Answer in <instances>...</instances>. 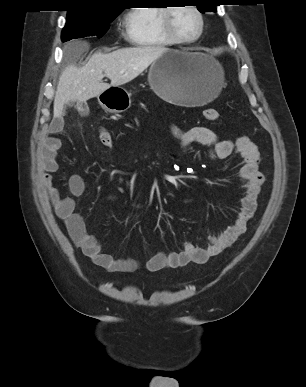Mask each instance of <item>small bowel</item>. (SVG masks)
<instances>
[{"label":"small bowel","instance_id":"1","mask_svg":"<svg viewBox=\"0 0 306 387\" xmlns=\"http://www.w3.org/2000/svg\"><path fill=\"white\" fill-rule=\"evenodd\" d=\"M63 128V118L53 120L40 151L41 181L47 190L54 212L63 221L76 246L95 265L109 272L133 273L140 268L139 262L132 258L116 259L104 253L99 239L87 232L83 218L75 211L74 197L81 196L86 188L83 177L79 174L69 177L67 185L70 196L63 195L53 184V175L59 170L57 153L61 147L57 134L62 132ZM172 130L182 149L194 143L209 147V159H225L233 152L238 153L242 160L240 178L244 195L241 198L234 223L221 234L209 237L206 247H199L188 240L181 251L157 252L145 264V269L149 272L183 267L190 263L204 264L231 246L240 235L245 233L247 224L256 211L257 197L264 183V176L259 170L260 152L256 144L248 137H239L235 141L220 140L214 131L204 126H196L187 130L173 126ZM109 198L113 199V196Z\"/></svg>","mask_w":306,"mask_h":387}]
</instances>
